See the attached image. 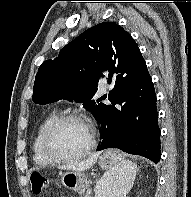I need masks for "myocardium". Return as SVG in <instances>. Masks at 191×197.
Wrapping results in <instances>:
<instances>
[{
    "label": "myocardium",
    "mask_w": 191,
    "mask_h": 197,
    "mask_svg": "<svg viewBox=\"0 0 191 197\" xmlns=\"http://www.w3.org/2000/svg\"><path fill=\"white\" fill-rule=\"evenodd\" d=\"M68 121H78L80 123L87 125L90 129V134H91L89 144L86 146V148L82 152L73 156H64L55 152L50 143V139H51L53 132L60 125ZM96 145H97V139H96V134L93 128L88 124V122L82 116L78 114H74V113L63 114L54 118L44 129L42 136H41V150L43 154L48 159L56 163H67V162L80 160L83 157H85L87 154H89L96 147Z\"/></svg>",
    "instance_id": "1"
}]
</instances>
